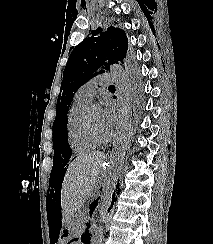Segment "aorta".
<instances>
[{"instance_id":"1","label":"aorta","mask_w":213,"mask_h":244,"mask_svg":"<svg viewBox=\"0 0 213 244\" xmlns=\"http://www.w3.org/2000/svg\"><path fill=\"white\" fill-rule=\"evenodd\" d=\"M112 74L116 77L117 99L119 101L117 127L113 148L109 160V172L104 180L100 201L97 206L98 224L92 239V244H103L104 224L111 206L113 193L118 180L122 175L125 155L133 131L131 101L132 85L125 71L120 65L110 66Z\"/></svg>"}]
</instances>
